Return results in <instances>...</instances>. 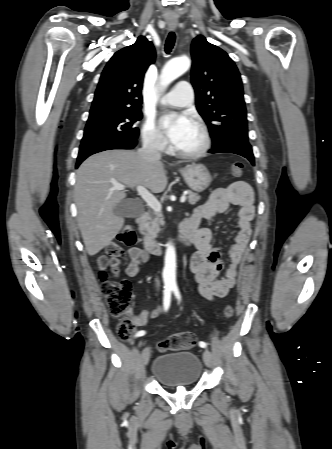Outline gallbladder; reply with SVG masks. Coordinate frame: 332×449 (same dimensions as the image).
<instances>
[{
	"mask_svg": "<svg viewBox=\"0 0 332 449\" xmlns=\"http://www.w3.org/2000/svg\"><path fill=\"white\" fill-rule=\"evenodd\" d=\"M113 212L117 216L134 218L139 216L143 212V209L137 201L133 199H123L114 207Z\"/></svg>",
	"mask_w": 332,
	"mask_h": 449,
	"instance_id": "obj_1",
	"label": "gallbladder"
}]
</instances>
